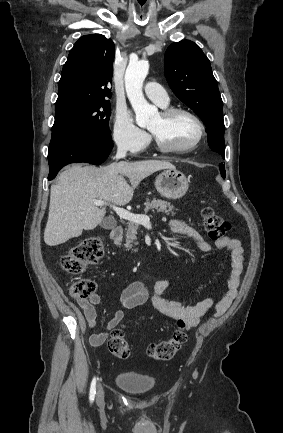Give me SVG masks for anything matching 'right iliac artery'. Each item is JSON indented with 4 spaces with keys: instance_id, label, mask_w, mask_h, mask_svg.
Wrapping results in <instances>:
<instances>
[{
    "instance_id": "1",
    "label": "right iliac artery",
    "mask_w": 283,
    "mask_h": 433,
    "mask_svg": "<svg viewBox=\"0 0 283 433\" xmlns=\"http://www.w3.org/2000/svg\"><path fill=\"white\" fill-rule=\"evenodd\" d=\"M95 394H96V378H93V380L91 382L90 396H89V399L91 402H93Z\"/></svg>"
}]
</instances>
